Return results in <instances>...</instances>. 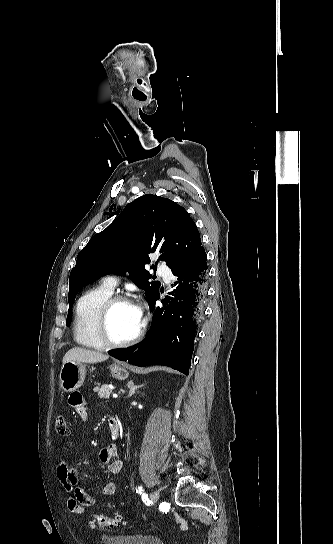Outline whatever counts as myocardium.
<instances>
[{"mask_svg": "<svg viewBox=\"0 0 333 544\" xmlns=\"http://www.w3.org/2000/svg\"><path fill=\"white\" fill-rule=\"evenodd\" d=\"M121 303H130V304H132L131 300L127 296L117 294V295L110 296L103 303V305L101 306V308L99 310V313H98V316H97V321H96V331H97V335H98L99 340L106 347L123 348V347L130 346V345L134 344L135 342H137L139 340V338L143 334L144 323L140 322V326H139L138 330L129 339H126L124 341H116V340H113L111 338L110 333H109V328H108L109 316H110V313L113 310V308L116 305L121 304Z\"/></svg>", "mask_w": 333, "mask_h": 544, "instance_id": "f54148a6", "label": "myocardium"}]
</instances>
